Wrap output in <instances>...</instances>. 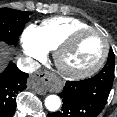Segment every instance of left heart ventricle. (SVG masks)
<instances>
[{
	"mask_svg": "<svg viewBox=\"0 0 117 117\" xmlns=\"http://www.w3.org/2000/svg\"><path fill=\"white\" fill-rule=\"evenodd\" d=\"M104 43L97 34L81 36L64 57V64L74 70H83L94 65L101 57Z\"/></svg>",
	"mask_w": 117,
	"mask_h": 117,
	"instance_id": "obj_1",
	"label": "left heart ventricle"
}]
</instances>
